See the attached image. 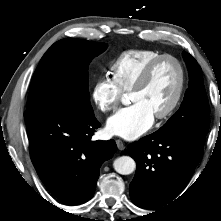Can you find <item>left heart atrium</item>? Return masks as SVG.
<instances>
[{"mask_svg": "<svg viewBox=\"0 0 221 221\" xmlns=\"http://www.w3.org/2000/svg\"><path fill=\"white\" fill-rule=\"evenodd\" d=\"M153 121V114L143 104L133 103L110 117L106 129L112 135L135 139L145 133Z\"/></svg>", "mask_w": 221, "mask_h": 221, "instance_id": "left-heart-atrium-1", "label": "left heart atrium"}]
</instances>
